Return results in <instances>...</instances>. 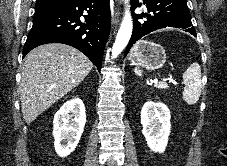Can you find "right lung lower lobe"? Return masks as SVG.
Here are the masks:
<instances>
[{"label": "right lung lower lobe", "mask_w": 227, "mask_h": 166, "mask_svg": "<svg viewBox=\"0 0 227 166\" xmlns=\"http://www.w3.org/2000/svg\"><path fill=\"white\" fill-rule=\"evenodd\" d=\"M86 23L80 21L83 12ZM109 0H69L35 13L23 57L37 46L63 43L83 52L100 71L110 32Z\"/></svg>", "instance_id": "obj_1"}]
</instances>
